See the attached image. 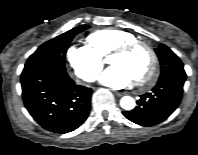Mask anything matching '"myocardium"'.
Wrapping results in <instances>:
<instances>
[{"instance_id": "1", "label": "myocardium", "mask_w": 198, "mask_h": 155, "mask_svg": "<svg viewBox=\"0 0 198 155\" xmlns=\"http://www.w3.org/2000/svg\"><path fill=\"white\" fill-rule=\"evenodd\" d=\"M140 46L146 48L147 51L149 52L150 58H151V66L148 72L143 77L136 80V84L141 87H149L154 83L158 74V69H159V59H158L155 49L153 48L151 44H149L146 41L136 39V40L124 43L120 45L119 47H117L115 50H113V52L111 53V56L116 55V54H127Z\"/></svg>"}]
</instances>
